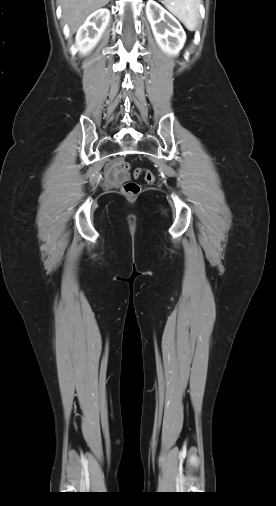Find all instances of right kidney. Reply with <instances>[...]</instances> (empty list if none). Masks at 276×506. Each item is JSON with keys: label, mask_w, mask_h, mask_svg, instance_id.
Instances as JSON below:
<instances>
[{"label": "right kidney", "mask_w": 276, "mask_h": 506, "mask_svg": "<svg viewBox=\"0 0 276 506\" xmlns=\"http://www.w3.org/2000/svg\"><path fill=\"white\" fill-rule=\"evenodd\" d=\"M110 19L108 9H98L87 17L76 34V45L81 54L89 53L99 42Z\"/></svg>", "instance_id": "obj_1"}]
</instances>
